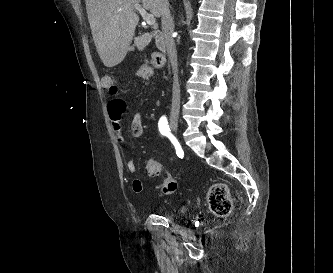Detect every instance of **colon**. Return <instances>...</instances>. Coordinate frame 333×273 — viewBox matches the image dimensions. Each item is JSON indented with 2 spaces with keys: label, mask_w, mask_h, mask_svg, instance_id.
Returning <instances> with one entry per match:
<instances>
[{
  "label": "colon",
  "mask_w": 333,
  "mask_h": 273,
  "mask_svg": "<svg viewBox=\"0 0 333 273\" xmlns=\"http://www.w3.org/2000/svg\"><path fill=\"white\" fill-rule=\"evenodd\" d=\"M153 68H161L165 64V57L161 53H153L148 61ZM103 86L110 94L118 92L117 79L105 77ZM145 169L149 176L160 179L158 187L162 194L169 195L176 191L177 183L160 161L150 158L145 162ZM210 210L217 216H228L232 211V200L226 184L218 182L210 186L207 194Z\"/></svg>",
  "instance_id": "colon-1"
}]
</instances>
